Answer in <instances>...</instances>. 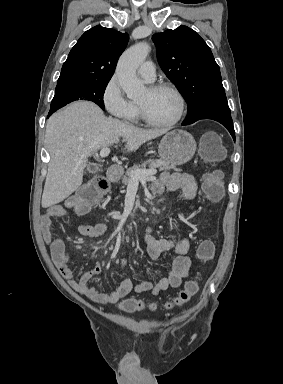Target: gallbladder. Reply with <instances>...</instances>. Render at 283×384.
Here are the masks:
<instances>
[{"instance_id":"obj_1","label":"gallbladder","mask_w":283,"mask_h":384,"mask_svg":"<svg viewBox=\"0 0 283 384\" xmlns=\"http://www.w3.org/2000/svg\"><path fill=\"white\" fill-rule=\"evenodd\" d=\"M100 170V167L98 165H90L89 171L90 172H98Z\"/></svg>"}]
</instances>
